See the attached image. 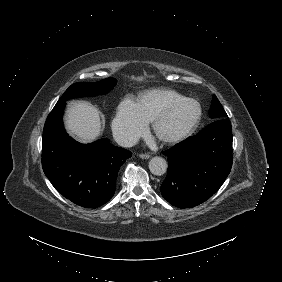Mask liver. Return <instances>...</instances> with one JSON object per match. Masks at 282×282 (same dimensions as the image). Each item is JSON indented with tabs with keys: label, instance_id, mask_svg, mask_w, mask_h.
<instances>
[{
	"label": "liver",
	"instance_id": "6515ba94",
	"mask_svg": "<svg viewBox=\"0 0 282 282\" xmlns=\"http://www.w3.org/2000/svg\"><path fill=\"white\" fill-rule=\"evenodd\" d=\"M63 120L67 134L80 143H92L101 136L100 110L88 101L70 103L66 107Z\"/></svg>",
	"mask_w": 282,
	"mask_h": 282
}]
</instances>
